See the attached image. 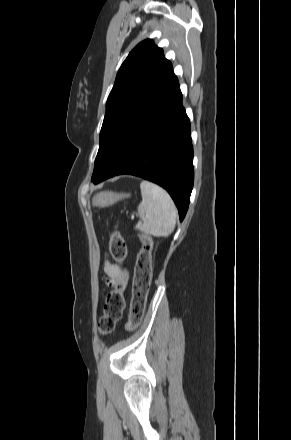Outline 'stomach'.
Masks as SVG:
<instances>
[{
	"instance_id": "1",
	"label": "stomach",
	"mask_w": 291,
	"mask_h": 440,
	"mask_svg": "<svg viewBox=\"0 0 291 440\" xmlns=\"http://www.w3.org/2000/svg\"><path fill=\"white\" fill-rule=\"evenodd\" d=\"M129 193H117L113 191H104L94 195L92 199V205L97 207H107L114 203L129 198Z\"/></svg>"
}]
</instances>
